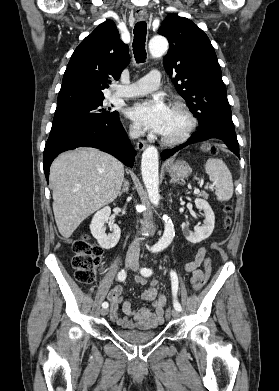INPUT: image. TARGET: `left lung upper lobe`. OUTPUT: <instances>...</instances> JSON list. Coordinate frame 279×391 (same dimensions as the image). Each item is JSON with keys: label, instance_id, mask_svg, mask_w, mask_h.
<instances>
[{"label": "left lung upper lobe", "instance_id": "5c2ea615", "mask_svg": "<svg viewBox=\"0 0 279 391\" xmlns=\"http://www.w3.org/2000/svg\"><path fill=\"white\" fill-rule=\"evenodd\" d=\"M169 41L164 68L199 128L220 124L234 129L221 68L208 36L191 20L169 14L158 31Z\"/></svg>", "mask_w": 279, "mask_h": 391}]
</instances>
